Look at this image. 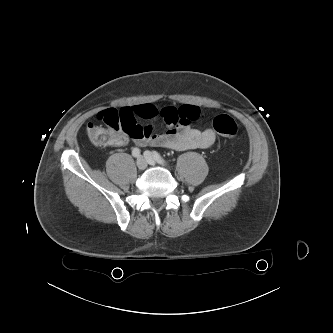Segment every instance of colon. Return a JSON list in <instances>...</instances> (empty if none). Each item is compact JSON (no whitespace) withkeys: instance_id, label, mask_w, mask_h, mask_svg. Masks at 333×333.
Returning <instances> with one entry per match:
<instances>
[{"instance_id":"1","label":"colon","mask_w":333,"mask_h":333,"mask_svg":"<svg viewBox=\"0 0 333 333\" xmlns=\"http://www.w3.org/2000/svg\"><path fill=\"white\" fill-rule=\"evenodd\" d=\"M98 120L104 124H89L86 132L90 141L97 146L112 145L118 132L133 134L137 131L135 115L128 108L116 110L106 109L98 114ZM216 133L224 137H234L238 133V125L229 115H217L212 122Z\"/></svg>"}]
</instances>
